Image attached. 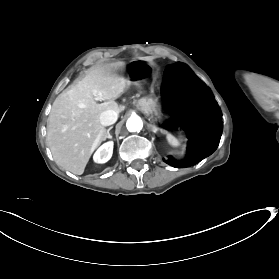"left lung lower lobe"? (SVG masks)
I'll return each instance as SVG.
<instances>
[{
  "label": "left lung lower lobe",
  "instance_id": "0a47b994",
  "mask_svg": "<svg viewBox=\"0 0 279 279\" xmlns=\"http://www.w3.org/2000/svg\"><path fill=\"white\" fill-rule=\"evenodd\" d=\"M161 91L165 109L189 139L185 159L164 162L177 168L195 165L218 147L223 127L220 109L209 88L180 62L164 71Z\"/></svg>",
  "mask_w": 279,
  "mask_h": 279
}]
</instances>
